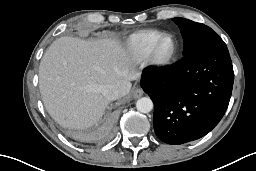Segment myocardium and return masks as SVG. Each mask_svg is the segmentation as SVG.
I'll list each match as a JSON object with an SVG mask.
<instances>
[{"instance_id":"1","label":"myocardium","mask_w":256,"mask_h":171,"mask_svg":"<svg viewBox=\"0 0 256 171\" xmlns=\"http://www.w3.org/2000/svg\"><path fill=\"white\" fill-rule=\"evenodd\" d=\"M167 39L171 40L172 42L171 51L169 52L168 55L161 56L159 53L160 46ZM176 54H177V42L175 38L171 34H163L152 45L149 56H148V61L152 67L157 69H162L169 66L173 62V60L176 57Z\"/></svg>"}]
</instances>
